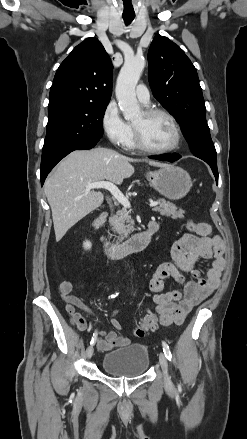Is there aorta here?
Here are the masks:
<instances>
[{"label": "aorta", "mask_w": 247, "mask_h": 439, "mask_svg": "<svg viewBox=\"0 0 247 439\" xmlns=\"http://www.w3.org/2000/svg\"><path fill=\"white\" fill-rule=\"evenodd\" d=\"M145 67V59L132 57L125 60L116 83V98L126 120H134L140 115L135 88Z\"/></svg>", "instance_id": "aorta-1"}]
</instances>
